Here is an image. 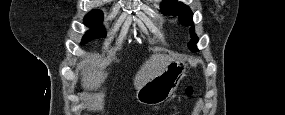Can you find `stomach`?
<instances>
[{
  "mask_svg": "<svg viewBox=\"0 0 285 115\" xmlns=\"http://www.w3.org/2000/svg\"><path fill=\"white\" fill-rule=\"evenodd\" d=\"M186 66L184 60L171 61L160 75L150 79L137 90V101L148 106L165 102L177 89L185 75Z\"/></svg>",
  "mask_w": 285,
  "mask_h": 115,
  "instance_id": "stomach-1",
  "label": "stomach"
}]
</instances>
